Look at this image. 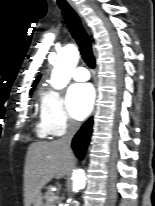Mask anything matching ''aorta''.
Listing matches in <instances>:
<instances>
[{
  "label": "aorta",
  "instance_id": "762f6f07",
  "mask_svg": "<svg viewBox=\"0 0 155 206\" xmlns=\"http://www.w3.org/2000/svg\"><path fill=\"white\" fill-rule=\"evenodd\" d=\"M78 59V50L72 44L66 45L59 51L50 80L53 88L62 89L67 85L78 63ZM72 179L74 192H77L85 186V173L83 170H76L73 173ZM70 202L71 200H68L64 206H69Z\"/></svg>",
  "mask_w": 155,
  "mask_h": 206
}]
</instances>
